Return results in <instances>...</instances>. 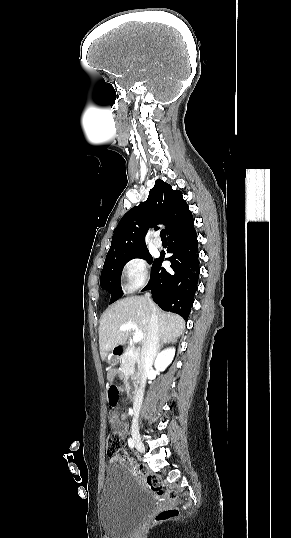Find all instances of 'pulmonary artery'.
<instances>
[{
  "mask_svg": "<svg viewBox=\"0 0 291 538\" xmlns=\"http://www.w3.org/2000/svg\"><path fill=\"white\" fill-rule=\"evenodd\" d=\"M154 245L158 248L162 247V242L160 239H155L154 240Z\"/></svg>",
  "mask_w": 291,
  "mask_h": 538,
  "instance_id": "obj_1",
  "label": "pulmonary artery"
}]
</instances>
